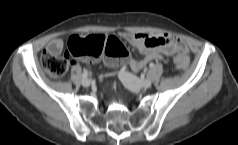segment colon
Here are the masks:
<instances>
[{
    "mask_svg": "<svg viewBox=\"0 0 238 145\" xmlns=\"http://www.w3.org/2000/svg\"><path fill=\"white\" fill-rule=\"evenodd\" d=\"M69 54L89 60L104 57L111 66H122L129 60L127 48L116 37L88 35L71 37L68 42V55L64 57L43 51L40 62L51 75L59 77L68 70ZM173 62L179 71H184L189 64L188 57L184 53L175 56Z\"/></svg>",
    "mask_w": 238,
    "mask_h": 145,
    "instance_id": "obj_1",
    "label": "colon"
}]
</instances>
